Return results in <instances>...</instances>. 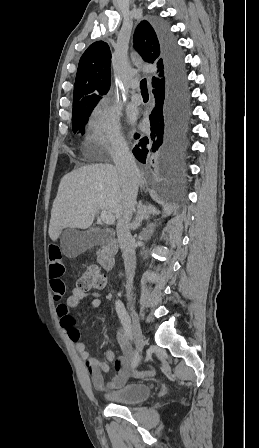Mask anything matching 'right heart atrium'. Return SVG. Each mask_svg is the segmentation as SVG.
I'll return each instance as SVG.
<instances>
[{"mask_svg":"<svg viewBox=\"0 0 259 448\" xmlns=\"http://www.w3.org/2000/svg\"><path fill=\"white\" fill-rule=\"evenodd\" d=\"M85 143L97 152H118L124 145L116 113L105 103L97 104L90 116Z\"/></svg>","mask_w":259,"mask_h":448,"instance_id":"right-heart-atrium-1","label":"right heart atrium"}]
</instances>
